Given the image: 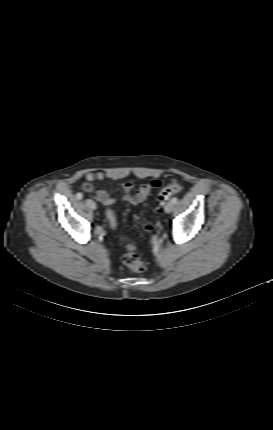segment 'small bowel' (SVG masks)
<instances>
[{"label":"small bowel","mask_w":273,"mask_h":430,"mask_svg":"<svg viewBox=\"0 0 273 430\" xmlns=\"http://www.w3.org/2000/svg\"><path fill=\"white\" fill-rule=\"evenodd\" d=\"M105 177L106 174L102 171L89 172L86 174V179L88 181L103 180ZM161 184L162 182L157 179L139 186H136L131 182L123 183L121 188L125 194L122 197V201L132 205L140 204L147 199L153 190L160 187ZM132 192L134 193L132 194ZM96 199L104 206H111L116 202V199L111 197L104 189H99L96 192Z\"/></svg>","instance_id":"obj_1"}]
</instances>
